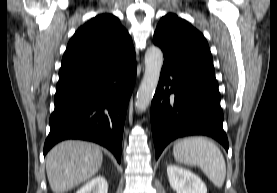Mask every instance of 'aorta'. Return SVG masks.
<instances>
[{"instance_id": "obj_1", "label": "aorta", "mask_w": 277, "mask_h": 193, "mask_svg": "<svg viewBox=\"0 0 277 193\" xmlns=\"http://www.w3.org/2000/svg\"><path fill=\"white\" fill-rule=\"evenodd\" d=\"M163 60V53L159 47L151 46L147 49L145 53V72L135 100V108L141 112L148 108L154 96Z\"/></svg>"}]
</instances>
